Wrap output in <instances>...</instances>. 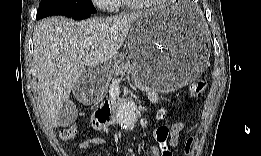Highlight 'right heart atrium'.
I'll return each mask as SVG.
<instances>
[{"instance_id": "d8ad5b80", "label": "right heart atrium", "mask_w": 261, "mask_h": 156, "mask_svg": "<svg viewBox=\"0 0 261 156\" xmlns=\"http://www.w3.org/2000/svg\"><path fill=\"white\" fill-rule=\"evenodd\" d=\"M96 4L98 7L104 10L113 11L116 8V2L113 0H101L98 1Z\"/></svg>"}]
</instances>
